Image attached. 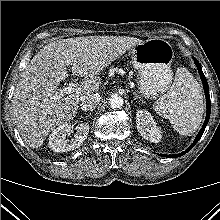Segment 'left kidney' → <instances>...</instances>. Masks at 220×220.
<instances>
[{
  "label": "left kidney",
  "instance_id": "5707ae66",
  "mask_svg": "<svg viewBox=\"0 0 220 220\" xmlns=\"http://www.w3.org/2000/svg\"><path fill=\"white\" fill-rule=\"evenodd\" d=\"M137 130L141 136L153 143L161 140V130L154 122L152 115L147 110H137L136 113Z\"/></svg>",
  "mask_w": 220,
  "mask_h": 220
}]
</instances>
